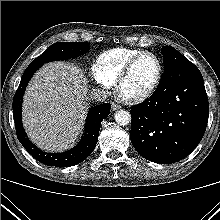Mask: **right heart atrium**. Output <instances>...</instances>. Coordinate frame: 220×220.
<instances>
[{
  "instance_id": "right-heart-atrium-1",
  "label": "right heart atrium",
  "mask_w": 220,
  "mask_h": 220,
  "mask_svg": "<svg viewBox=\"0 0 220 220\" xmlns=\"http://www.w3.org/2000/svg\"><path fill=\"white\" fill-rule=\"evenodd\" d=\"M92 76L95 82L98 83L99 85L105 88H108L109 86H111L108 83H106L103 79H101V77H99V75L96 73L95 65L92 66Z\"/></svg>"
}]
</instances>
